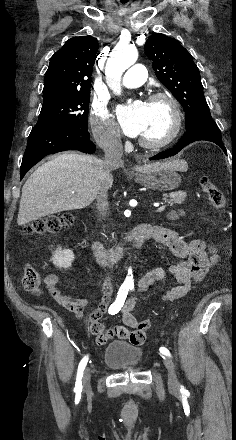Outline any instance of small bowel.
Masks as SVG:
<instances>
[{
	"instance_id": "small-bowel-1",
	"label": "small bowel",
	"mask_w": 236,
	"mask_h": 440,
	"mask_svg": "<svg viewBox=\"0 0 236 440\" xmlns=\"http://www.w3.org/2000/svg\"><path fill=\"white\" fill-rule=\"evenodd\" d=\"M181 213H171L170 221L177 219ZM156 241L165 245L178 259L177 262L167 266L150 270L143 275L138 282L140 292L146 291L155 282L162 280L170 274L176 278L178 285L171 288L161 296L162 301H174L184 297L190 290L192 284L203 280L219 262V252L214 246L210 247L211 256L206 252V245L201 240L185 242L178 233L164 226H154L153 236ZM58 276L50 274L45 279L47 290L53 300L63 306L77 317H81L88 300L84 297H74L63 293L57 288ZM113 285L109 278L105 279L102 286V298L97 309L91 313L89 321H84V330L96 336V342L103 345L108 339L117 336L123 339H142L144 331L137 330L138 321L133 314L135 300L128 298L122 307L121 314L124 324H116L104 332V326L99 322L100 317L105 313L112 297ZM144 340L133 342L142 344Z\"/></svg>"
}]
</instances>
